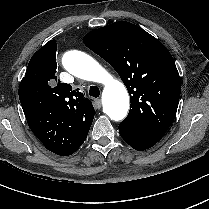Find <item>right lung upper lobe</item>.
I'll return each instance as SVG.
<instances>
[{"label": "right lung upper lobe", "instance_id": "1", "mask_svg": "<svg viewBox=\"0 0 209 209\" xmlns=\"http://www.w3.org/2000/svg\"><path fill=\"white\" fill-rule=\"evenodd\" d=\"M56 41L47 42L31 58L25 77L19 87V99L23 109L47 106L49 123L55 127L61 143L77 147L84 143L94 118L92 102L81 92L72 90L71 85L50 81L57 77Z\"/></svg>", "mask_w": 209, "mask_h": 209}]
</instances>
